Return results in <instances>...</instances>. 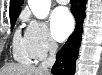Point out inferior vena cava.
Returning a JSON list of instances; mask_svg holds the SVG:
<instances>
[{
  "mask_svg": "<svg viewBox=\"0 0 102 75\" xmlns=\"http://www.w3.org/2000/svg\"><path fill=\"white\" fill-rule=\"evenodd\" d=\"M57 48V43L51 40L49 43V57L41 62V64L39 65L40 70L48 72V69L52 68L56 60Z\"/></svg>",
  "mask_w": 102,
  "mask_h": 75,
  "instance_id": "inferior-vena-cava-1",
  "label": "inferior vena cava"
}]
</instances>
